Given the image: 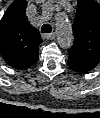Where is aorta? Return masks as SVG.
Here are the masks:
<instances>
[{"label":"aorta","mask_w":100,"mask_h":118,"mask_svg":"<svg viewBox=\"0 0 100 118\" xmlns=\"http://www.w3.org/2000/svg\"><path fill=\"white\" fill-rule=\"evenodd\" d=\"M57 42L62 48H69L73 43V32L70 21L66 15L59 14L56 17Z\"/></svg>","instance_id":"762f6f07"}]
</instances>
